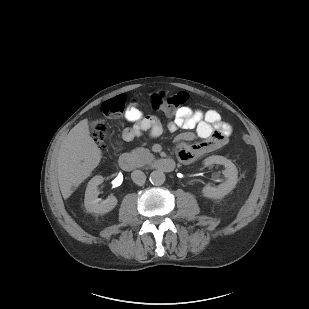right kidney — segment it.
<instances>
[{
	"mask_svg": "<svg viewBox=\"0 0 309 309\" xmlns=\"http://www.w3.org/2000/svg\"><path fill=\"white\" fill-rule=\"evenodd\" d=\"M104 181L100 175L93 177L86 188L84 205L87 211L97 214H106L113 210L117 205V198L113 195L108 196L107 199L101 201L98 198L97 187Z\"/></svg>",
	"mask_w": 309,
	"mask_h": 309,
	"instance_id": "1",
	"label": "right kidney"
}]
</instances>
